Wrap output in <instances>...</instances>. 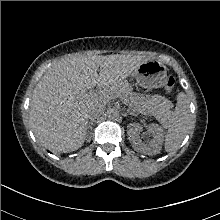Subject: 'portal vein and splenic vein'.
<instances>
[{"instance_id": "portal-vein-and-splenic-vein-1", "label": "portal vein and splenic vein", "mask_w": 220, "mask_h": 220, "mask_svg": "<svg viewBox=\"0 0 220 220\" xmlns=\"http://www.w3.org/2000/svg\"><path fill=\"white\" fill-rule=\"evenodd\" d=\"M86 96H87L88 98H95V97H97V94L94 93V92H89L88 94H86Z\"/></svg>"}]
</instances>
